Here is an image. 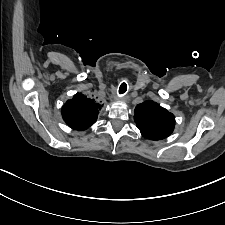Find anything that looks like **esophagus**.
Instances as JSON below:
<instances>
[{"instance_id": "esophagus-1", "label": "esophagus", "mask_w": 225, "mask_h": 225, "mask_svg": "<svg viewBox=\"0 0 225 225\" xmlns=\"http://www.w3.org/2000/svg\"><path fill=\"white\" fill-rule=\"evenodd\" d=\"M121 99H124V100H126L127 99V96H119Z\"/></svg>"}]
</instances>
